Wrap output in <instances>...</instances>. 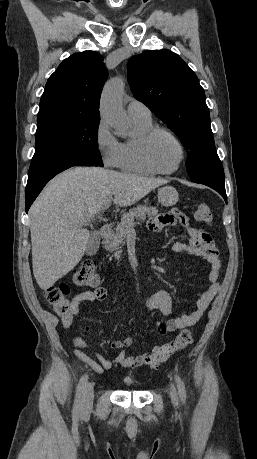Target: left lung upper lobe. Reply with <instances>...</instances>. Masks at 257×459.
<instances>
[{"instance_id": "1", "label": "left lung upper lobe", "mask_w": 257, "mask_h": 459, "mask_svg": "<svg viewBox=\"0 0 257 459\" xmlns=\"http://www.w3.org/2000/svg\"><path fill=\"white\" fill-rule=\"evenodd\" d=\"M134 97L168 125L188 150L187 172L194 182L224 183L215 150L205 92L179 55L149 50L128 62Z\"/></svg>"}]
</instances>
